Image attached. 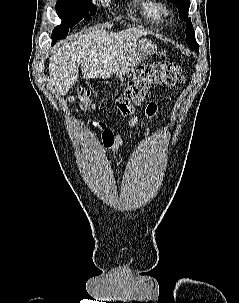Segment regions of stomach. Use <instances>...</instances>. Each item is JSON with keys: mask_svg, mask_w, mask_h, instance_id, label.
Listing matches in <instances>:
<instances>
[{"mask_svg": "<svg viewBox=\"0 0 239 303\" xmlns=\"http://www.w3.org/2000/svg\"><path fill=\"white\" fill-rule=\"evenodd\" d=\"M155 50L156 46L151 41H139L138 45L129 50L125 55V58L121 62L116 73L119 75L129 73L141 62L142 59L148 55H151L153 52H155Z\"/></svg>", "mask_w": 239, "mask_h": 303, "instance_id": "1", "label": "stomach"}]
</instances>
